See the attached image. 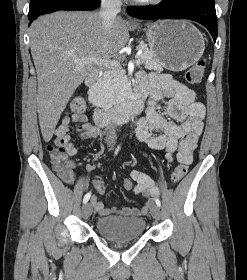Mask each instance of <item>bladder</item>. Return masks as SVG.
I'll use <instances>...</instances> for the list:
<instances>
[{
	"mask_svg": "<svg viewBox=\"0 0 247 280\" xmlns=\"http://www.w3.org/2000/svg\"><path fill=\"white\" fill-rule=\"evenodd\" d=\"M95 227L102 237L123 242L140 238L145 232L146 222L140 217L108 216L98 218Z\"/></svg>",
	"mask_w": 247,
	"mask_h": 280,
	"instance_id": "1",
	"label": "bladder"
}]
</instances>
